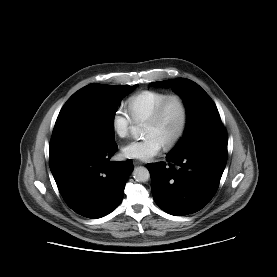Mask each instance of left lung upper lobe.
I'll list each match as a JSON object with an SVG mask.
<instances>
[{
  "mask_svg": "<svg viewBox=\"0 0 277 277\" xmlns=\"http://www.w3.org/2000/svg\"><path fill=\"white\" fill-rule=\"evenodd\" d=\"M172 87L185 101L187 126L184 136L170 154H179L204 133L221 130L223 125L216 105L209 95L195 82L178 78L150 83L149 86Z\"/></svg>",
  "mask_w": 277,
  "mask_h": 277,
  "instance_id": "obj_1",
  "label": "left lung upper lobe"
}]
</instances>
